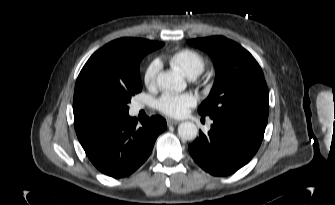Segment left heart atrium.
Returning a JSON list of instances; mask_svg holds the SVG:
<instances>
[{
  "label": "left heart atrium",
  "instance_id": "39dd6f15",
  "mask_svg": "<svg viewBox=\"0 0 335 205\" xmlns=\"http://www.w3.org/2000/svg\"><path fill=\"white\" fill-rule=\"evenodd\" d=\"M197 103V97L192 93H164L157 101L156 106L162 113L172 117L184 116L189 108Z\"/></svg>",
  "mask_w": 335,
  "mask_h": 205
}]
</instances>
